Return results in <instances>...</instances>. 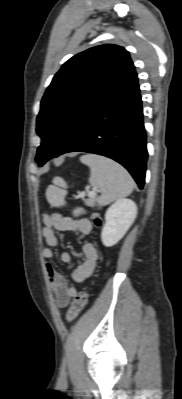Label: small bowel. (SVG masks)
Segmentation results:
<instances>
[{
  "mask_svg": "<svg viewBox=\"0 0 182 399\" xmlns=\"http://www.w3.org/2000/svg\"><path fill=\"white\" fill-rule=\"evenodd\" d=\"M43 223L42 237L47 246L42 249V256L45 259L49 288L56 304L59 307H65L70 299L76 295V288L67 281L52 263L54 259L53 249L60 245L56 232H79L87 235L92 231L93 226L88 219L74 218L59 212L44 214ZM82 250L83 260H77L70 252H62L60 255V260L63 263H76L72 273V278L75 282H82L88 279L92 275L98 260V250L94 244L85 243Z\"/></svg>",
  "mask_w": 182,
  "mask_h": 399,
  "instance_id": "1",
  "label": "small bowel"
}]
</instances>
